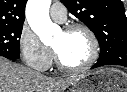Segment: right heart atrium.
Wrapping results in <instances>:
<instances>
[{"label":"right heart atrium","instance_id":"right-heart-atrium-1","mask_svg":"<svg viewBox=\"0 0 127 92\" xmlns=\"http://www.w3.org/2000/svg\"><path fill=\"white\" fill-rule=\"evenodd\" d=\"M19 50L23 62L33 69L46 70L52 64L53 51L28 26H24L21 30Z\"/></svg>","mask_w":127,"mask_h":92}]
</instances>
